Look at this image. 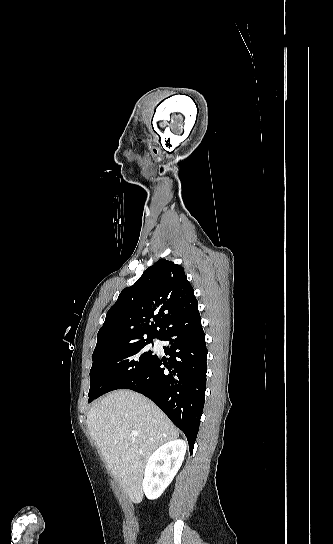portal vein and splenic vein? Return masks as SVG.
<instances>
[{
    "label": "portal vein and splenic vein",
    "mask_w": 333,
    "mask_h": 544,
    "mask_svg": "<svg viewBox=\"0 0 333 544\" xmlns=\"http://www.w3.org/2000/svg\"><path fill=\"white\" fill-rule=\"evenodd\" d=\"M132 436H138V432L137 431H132Z\"/></svg>",
    "instance_id": "portal-vein-and-splenic-vein-1"
}]
</instances>
